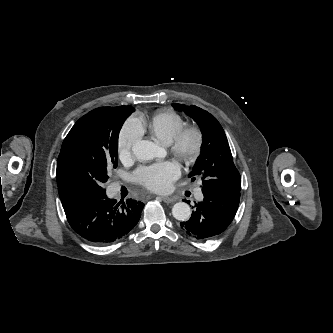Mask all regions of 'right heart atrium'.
Masks as SVG:
<instances>
[{
    "label": "right heart atrium",
    "mask_w": 333,
    "mask_h": 333,
    "mask_svg": "<svg viewBox=\"0 0 333 333\" xmlns=\"http://www.w3.org/2000/svg\"><path fill=\"white\" fill-rule=\"evenodd\" d=\"M142 136V128L135 117L128 118L123 124L117 138V152L121 160L130 157L134 145Z\"/></svg>",
    "instance_id": "right-heart-atrium-1"
}]
</instances>
